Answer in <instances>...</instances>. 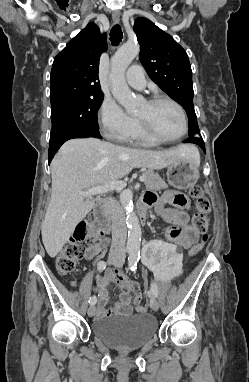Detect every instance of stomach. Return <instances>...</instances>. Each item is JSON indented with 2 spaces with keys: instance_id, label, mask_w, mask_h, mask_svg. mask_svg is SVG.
Instances as JSON below:
<instances>
[{
  "instance_id": "0dacf381",
  "label": "stomach",
  "mask_w": 249,
  "mask_h": 382,
  "mask_svg": "<svg viewBox=\"0 0 249 382\" xmlns=\"http://www.w3.org/2000/svg\"><path fill=\"white\" fill-rule=\"evenodd\" d=\"M199 163L194 157H182L170 164L167 169V180L177 189H187L198 181Z\"/></svg>"
}]
</instances>
